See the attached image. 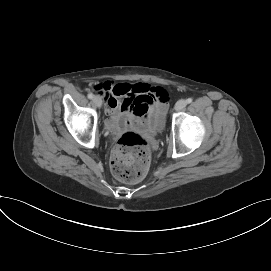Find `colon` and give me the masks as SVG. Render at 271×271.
Listing matches in <instances>:
<instances>
[{"mask_svg": "<svg viewBox=\"0 0 271 271\" xmlns=\"http://www.w3.org/2000/svg\"><path fill=\"white\" fill-rule=\"evenodd\" d=\"M151 152L146 140L139 134L127 132L118 140L111 155V171L120 181L136 183L147 174Z\"/></svg>", "mask_w": 271, "mask_h": 271, "instance_id": "1", "label": "colon"}]
</instances>
